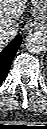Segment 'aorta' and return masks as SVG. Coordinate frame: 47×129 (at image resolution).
<instances>
[{
	"mask_svg": "<svg viewBox=\"0 0 47 129\" xmlns=\"http://www.w3.org/2000/svg\"><path fill=\"white\" fill-rule=\"evenodd\" d=\"M25 47L31 53L39 54L46 50L47 39L41 33H31L25 38Z\"/></svg>",
	"mask_w": 47,
	"mask_h": 129,
	"instance_id": "obj_1",
	"label": "aorta"
}]
</instances>
